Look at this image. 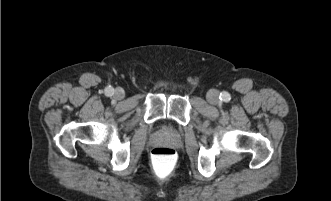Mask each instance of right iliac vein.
I'll list each match as a JSON object with an SVG mask.
<instances>
[{"label": "right iliac vein", "mask_w": 331, "mask_h": 201, "mask_svg": "<svg viewBox=\"0 0 331 201\" xmlns=\"http://www.w3.org/2000/svg\"><path fill=\"white\" fill-rule=\"evenodd\" d=\"M125 96L124 90L122 88H116L114 91V97L118 100L123 99Z\"/></svg>", "instance_id": "1"}]
</instances>
